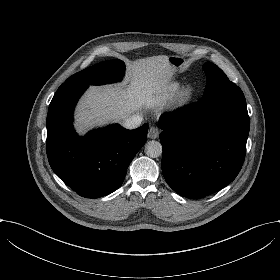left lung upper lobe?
I'll use <instances>...</instances> for the list:
<instances>
[{
  "label": "left lung upper lobe",
  "mask_w": 280,
  "mask_h": 280,
  "mask_svg": "<svg viewBox=\"0 0 280 280\" xmlns=\"http://www.w3.org/2000/svg\"><path fill=\"white\" fill-rule=\"evenodd\" d=\"M203 69L207 75V84L203 99L216 93L237 87L217 65L207 62L203 65Z\"/></svg>",
  "instance_id": "left-lung-upper-lobe-1"
}]
</instances>
